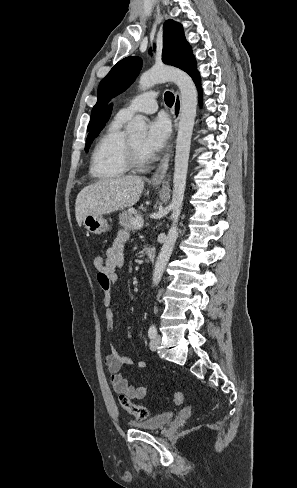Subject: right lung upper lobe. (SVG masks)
<instances>
[{
    "mask_svg": "<svg viewBox=\"0 0 297 488\" xmlns=\"http://www.w3.org/2000/svg\"><path fill=\"white\" fill-rule=\"evenodd\" d=\"M111 110H112V105L108 106V108L99 117V119L97 120V122L93 126L90 134L88 135V138L93 136L100 128H102L104 126V124L108 121V119L111 115Z\"/></svg>",
    "mask_w": 297,
    "mask_h": 488,
    "instance_id": "right-lung-upper-lobe-1",
    "label": "right lung upper lobe"
}]
</instances>
